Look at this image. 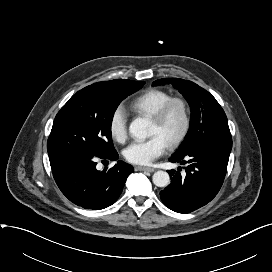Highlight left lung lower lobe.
Here are the masks:
<instances>
[{
	"label": "left lung lower lobe",
	"instance_id": "obj_1",
	"mask_svg": "<svg viewBox=\"0 0 272 272\" xmlns=\"http://www.w3.org/2000/svg\"><path fill=\"white\" fill-rule=\"evenodd\" d=\"M231 149L232 139L214 140L174 154L170 161L187 164L186 175L168 171L172 180L160 192L162 202L178 213L192 212L210 202L223 184Z\"/></svg>",
	"mask_w": 272,
	"mask_h": 272
}]
</instances>
